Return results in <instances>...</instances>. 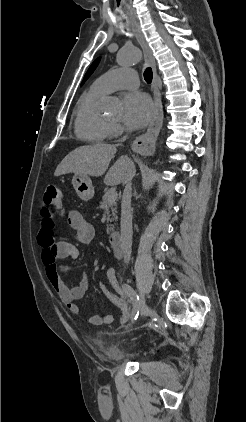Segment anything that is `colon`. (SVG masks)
Returning <instances> with one entry per match:
<instances>
[{
	"mask_svg": "<svg viewBox=\"0 0 246 422\" xmlns=\"http://www.w3.org/2000/svg\"><path fill=\"white\" fill-rule=\"evenodd\" d=\"M63 197V192L57 185L51 184L45 190L44 202L56 217H62L64 214Z\"/></svg>",
	"mask_w": 246,
	"mask_h": 422,
	"instance_id": "5ec220e1",
	"label": "colon"
}]
</instances>
